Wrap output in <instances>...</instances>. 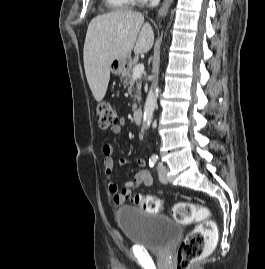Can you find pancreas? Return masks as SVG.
I'll use <instances>...</instances> for the list:
<instances>
[{
  "label": "pancreas",
  "instance_id": "cf45deb5",
  "mask_svg": "<svg viewBox=\"0 0 265 269\" xmlns=\"http://www.w3.org/2000/svg\"><path fill=\"white\" fill-rule=\"evenodd\" d=\"M124 85L125 87H128L129 91L135 90V87H136V94L133 97H134V100L137 101V103H140L142 84L139 78L133 79L130 70L127 72L126 77L124 79ZM137 103L135 102L133 103L132 105L133 110L137 108Z\"/></svg>",
  "mask_w": 265,
  "mask_h": 269
}]
</instances>
